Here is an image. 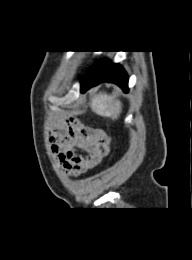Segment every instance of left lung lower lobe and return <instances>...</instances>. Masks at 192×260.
Listing matches in <instances>:
<instances>
[{
    "instance_id": "left-lung-lower-lobe-1",
    "label": "left lung lower lobe",
    "mask_w": 192,
    "mask_h": 260,
    "mask_svg": "<svg viewBox=\"0 0 192 260\" xmlns=\"http://www.w3.org/2000/svg\"><path fill=\"white\" fill-rule=\"evenodd\" d=\"M104 81L113 82L120 86L124 92L128 91V77L124 69L119 64L98 60L80 80L81 92L84 93Z\"/></svg>"
}]
</instances>
